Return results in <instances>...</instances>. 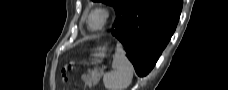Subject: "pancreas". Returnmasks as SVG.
<instances>
[{
    "label": "pancreas",
    "mask_w": 228,
    "mask_h": 90,
    "mask_svg": "<svg viewBox=\"0 0 228 90\" xmlns=\"http://www.w3.org/2000/svg\"><path fill=\"white\" fill-rule=\"evenodd\" d=\"M98 78H99V76H93V77L89 78V80H86L85 82L89 87H92L97 83Z\"/></svg>",
    "instance_id": "pancreas-1"
}]
</instances>
